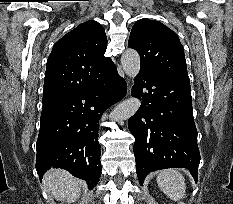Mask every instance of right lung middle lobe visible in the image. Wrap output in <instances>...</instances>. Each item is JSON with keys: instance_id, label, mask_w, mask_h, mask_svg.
I'll use <instances>...</instances> for the list:
<instances>
[{"instance_id": "obj_1", "label": "right lung middle lobe", "mask_w": 233, "mask_h": 204, "mask_svg": "<svg viewBox=\"0 0 233 204\" xmlns=\"http://www.w3.org/2000/svg\"><path fill=\"white\" fill-rule=\"evenodd\" d=\"M46 106H48V105H43V107H46Z\"/></svg>"}]
</instances>
